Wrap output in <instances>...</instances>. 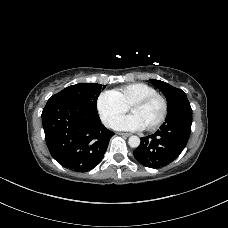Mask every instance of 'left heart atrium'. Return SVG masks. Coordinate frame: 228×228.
<instances>
[{"label": "left heart atrium", "instance_id": "left-heart-atrium-1", "mask_svg": "<svg viewBox=\"0 0 228 228\" xmlns=\"http://www.w3.org/2000/svg\"><path fill=\"white\" fill-rule=\"evenodd\" d=\"M113 127L119 130H130V131H137V130L144 129V126L141 124L138 118L133 114L117 119L114 122Z\"/></svg>", "mask_w": 228, "mask_h": 228}]
</instances>
